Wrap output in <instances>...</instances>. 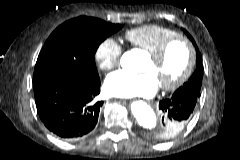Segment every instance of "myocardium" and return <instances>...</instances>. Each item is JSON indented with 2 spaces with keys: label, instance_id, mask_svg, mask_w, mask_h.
<instances>
[{
  "label": "myocardium",
  "instance_id": "myocardium-1",
  "mask_svg": "<svg viewBox=\"0 0 240 160\" xmlns=\"http://www.w3.org/2000/svg\"><path fill=\"white\" fill-rule=\"evenodd\" d=\"M176 43H182L188 51V62L183 73L172 83L161 84V89L167 92H173L181 88L191 77L196 64V50L193 43L185 36L175 35L161 43V45L153 52L149 53V57L156 63H160L166 56L170 47Z\"/></svg>",
  "mask_w": 240,
  "mask_h": 160
}]
</instances>
